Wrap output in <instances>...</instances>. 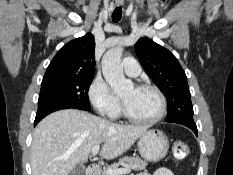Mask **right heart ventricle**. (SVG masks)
<instances>
[{
    "mask_svg": "<svg viewBox=\"0 0 233 175\" xmlns=\"http://www.w3.org/2000/svg\"><path fill=\"white\" fill-rule=\"evenodd\" d=\"M118 112H119V108H118L117 112L115 113V115H116Z\"/></svg>",
    "mask_w": 233,
    "mask_h": 175,
    "instance_id": "obj_1",
    "label": "right heart ventricle"
}]
</instances>
